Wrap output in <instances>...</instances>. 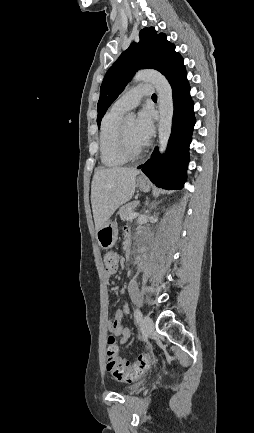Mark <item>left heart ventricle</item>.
<instances>
[{
	"label": "left heart ventricle",
	"instance_id": "1",
	"mask_svg": "<svg viewBox=\"0 0 254 433\" xmlns=\"http://www.w3.org/2000/svg\"><path fill=\"white\" fill-rule=\"evenodd\" d=\"M123 128L125 131V135L130 147L134 150L141 149L145 144H143L135 134V122L134 121H126L123 123Z\"/></svg>",
	"mask_w": 254,
	"mask_h": 433
}]
</instances>
